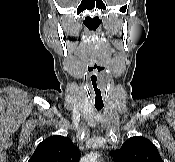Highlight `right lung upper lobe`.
<instances>
[{
	"instance_id": "right-lung-upper-lobe-1",
	"label": "right lung upper lobe",
	"mask_w": 175,
	"mask_h": 162,
	"mask_svg": "<svg viewBox=\"0 0 175 162\" xmlns=\"http://www.w3.org/2000/svg\"><path fill=\"white\" fill-rule=\"evenodd\" d=\"M80 151L70 138L54 135L43 140L28 162H78Z\"/></svg>"
}]
</instances>
